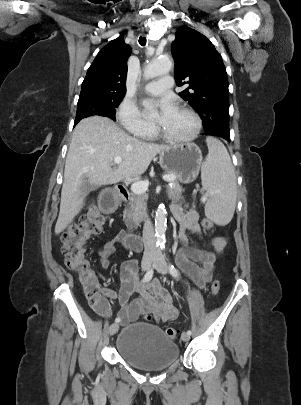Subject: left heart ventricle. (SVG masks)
Segmentation results:
<instances>
[{"label": "left heart ventricle", "instance_id": "left-heart-ventricle-1", "mask_svg": "<svg viewBox=\"0 0 301 405\" xmlns=\"http://www.w3.org/2000/svg\"><path fill=\"white\" fill-rule=\"evenodd\" d=\"M154 121L168 134L177 137L187 136L194 129L193 118L179 109H176L173 113L166 116L158 114Z\"/></svg>", "mask_w": 301, "mask_h": 405}]
</instances>
